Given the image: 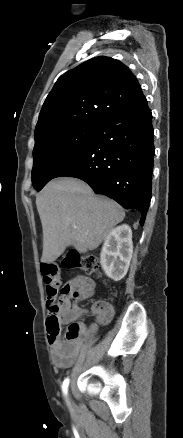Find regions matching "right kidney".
Returning a JSON list of instances; mask_svg holds the SVG:
<instances>
[{"instance_id":"1","label":"right kidney","mask_w":183,"mask_h":438,"mask_svg":"<svg viewBox=\"0 0 183 438\" xmlns=\"http://www.w3.org/2000/svg\"><path fill=\"white\" fill-rule=\"evenodd\" d=\"M133 253L132 230L127 224L114 228L105 238L100 254L101 267L115 281L127 273Z\"/></svg>"}]
</instances>
